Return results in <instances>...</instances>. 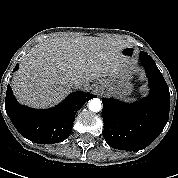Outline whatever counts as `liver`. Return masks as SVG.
Returning <instances> with one entry per match:
<instances>
[{"label": "liver", "mask_w": 178, "mask_h": 178, "mask_svg": "<svg viewBox=\"0 0 178 178\" xmlns=\"http://www.w3.org/2000/svg\"><path fill=\"white\" fill-rule=\"evenodd\" d=\"M128 45L114 39L97 37H54L35 45L21 60L11 87L20 103L48 107L61 101L74 88L113 72L127 70L128 60L120 52Z\"/></svg>", "instance_id": "1"}]
</instances>
